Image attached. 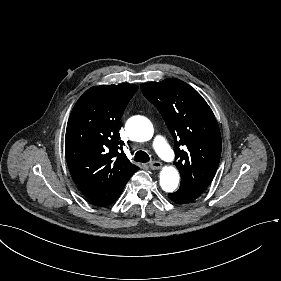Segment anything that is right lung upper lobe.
I'll use <instances>...</instances> for the list:
<instances>
[{"label": "right lung upper lobe", "instance_id": "1", "mask_svg": "<svg viewBox=\"0 0 281 281\" xmlns=\"http://www.w3.org/2000/svg\"><path fill=\"white\" fill-rule=\"evenodd\" d=\"M138 86L101 85L88 89L75 104L65 136L66 161L71 176L88 199L139 168L122 150L119 121Z\"/></svg>", "mask_w": 281, "mask_h": 281}]
</instances>
